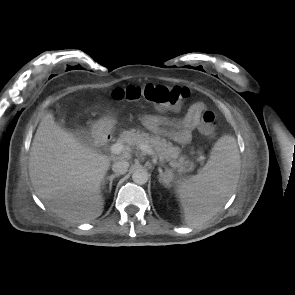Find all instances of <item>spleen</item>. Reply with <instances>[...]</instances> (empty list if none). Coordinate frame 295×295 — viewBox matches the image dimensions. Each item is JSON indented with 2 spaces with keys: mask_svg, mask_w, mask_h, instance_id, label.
<instances>
[{
  "mask_svg": "<svg viewBox=\"0 0 295 295\" xmlns=\"http://www.w3.org/2000/svg\"><path fill=\"white\" fill-rule=\"evenodd\" d=\"M239 174L240 154L236 140L223 136L214 145L203 169L178 184L177 195L186 223L195 227L211 219L232 196Z\"/></svg>",
  "mask_w": 295,
  "mask_h": 295,
  "instance_id": "3e777b00",
  "label": "spleen"
}]
</instances>
